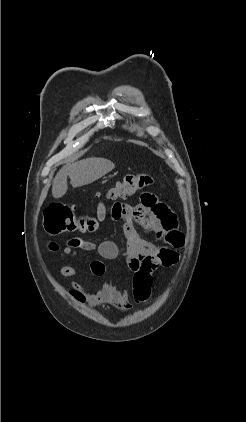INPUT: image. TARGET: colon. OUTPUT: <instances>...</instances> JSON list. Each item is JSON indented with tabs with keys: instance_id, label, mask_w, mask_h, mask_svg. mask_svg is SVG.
I'll return each instance as SVG.
<instances>
[{
	"instance_id": "colon-1",
	"label": "colon",
	"mask_w": 246,
	"mask_h": 422,
	"mask_svg": "<svg viewBox=\"0 0 246 422\" xmlns=\"http://www.w3.org/2000/svg\"><path fill=\"white\" fill-rule=\"evenodd\" d=\"M155 183L150 173L127 174L116 182L106 193L109 200H118L136 194ZM106 214L104 203L97 206L95 218L80 217L76 214V207L72 204L53 202L44 212L43 227L49 234L65 231H90L95 228ZM179 260V253L173 249H162L156 255L141 258L134 268L133 296L139 303L147 302L151 294L152 272L159 267H170Z\"/></svg>"
}]
</instances>
